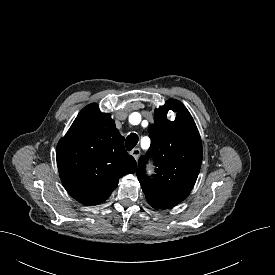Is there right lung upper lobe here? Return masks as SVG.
Segmentation results:
<instances>
[{"mask_svg":"<svg viewBox=\"0 0 275 275\" xmlns=\"http://www.w3.org/2000/svg\"><path fill=\"white\" fill-rule=\"evenodd\" d=\"M56 156L65 189L87 206L104 202L119 179L137 168L110 114L102 113L95 103L78 114L59 141Z\"/></svg>","mask_w":275,"mask_h":275,"instance_id":"cb5924a9","label":"right lung upper lobe"}]
</instances>
